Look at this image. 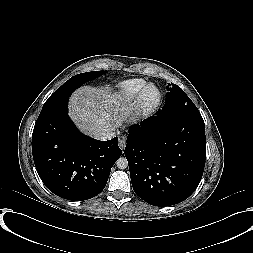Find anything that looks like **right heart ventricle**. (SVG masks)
<instances>
[{
    "label": "right heart ventricle",
    "mask_w": 253,
    "mask_h": 253,
    "mask_svg": "<svg viewBox=\"0 0 253 253\" xmlns=\"http://www.w3.org/2000/svg\"><path fill=\"white\" fill-rule=\"evenodd\" d=\"M145 85L146 81L141 78L122 81L117 86V95L119 100L121 102L135 101Z\"/></svg>",
    "instance_id": "right-heart-ventricle-1"
}]
</instances>
